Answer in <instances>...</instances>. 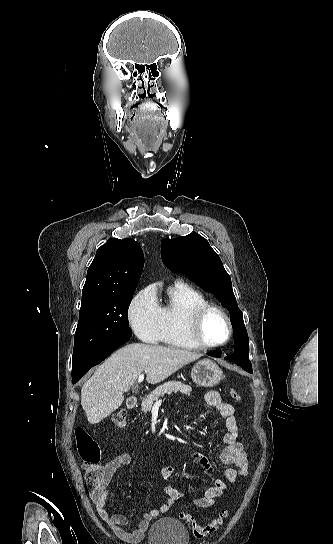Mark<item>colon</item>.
Masks as SVG:
<instances>
[{"label": "colon", "instance_id": "5ec220e1", "mask_svg": "<svg viewBox=\"0 0 333 544\" xmlns=\"http://www.w3.org/2000/svg\"><path fill=\"white\" fill-rule=\"evenodd\" d=\"M230 396L237 402L241 401V395L235 389L230 390ZM111 424L124 429L127 425V415L124 410L117 411L111 417ZM75 439L79 456L85 469V480L91 490L101 488L105 483L104 466L101 463V450L98 443L84 429L75 430ZM227 512H221L213 521L208 524H200L190 513H182L181 518L189 525L197 538H205L215 533L223 524Z\"/></svg>", "mask_w": 333, "mask_h": 544}]
</instances>
